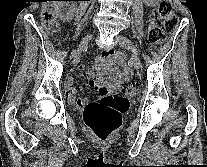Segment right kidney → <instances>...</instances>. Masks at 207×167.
Listing matches in <instances>:
<instances>
[{"label": "right kidney", "mask_w": 207, "mask_h": 167, "mask_svg": "<svg viewBox=\"0 0 207 167\" xmlns=\"http://www.w3.org/2000/svg\"><path fill=\"white\" fill-rule=\"evenodd\" d=\"M54 3H55V12L60 17L61 20L69 21L72 19V17L74 16L75 8L71 7V8H69V10L67 12L62 13L65 6H69L70 2L55 1Z\"/></svg>", "instance_id": "1"}]
</instances>
